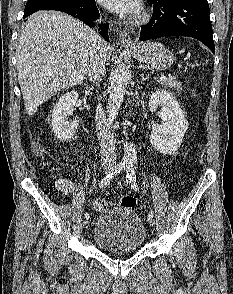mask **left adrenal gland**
I'll return each mask as SVG.
<instances>
[{"mask_svg":"<svg viewBox=\"0 0 233 294\" xmlns=\"http://www.w3.org/2000/svg\"><path fill=\"white\" fill-rule=\"evenodd\" d=\"M141 82L145 81L147 79V77L144 76V74H141Z\"/></svg>","mask_w":233,"mask_h":294,"instance_id":"left-adrenal-gland-1","label":"left adrenal gland"}]
</instances>
